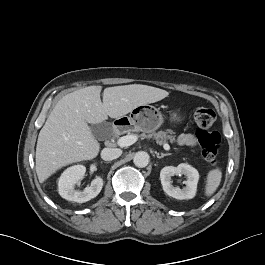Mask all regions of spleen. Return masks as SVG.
<instances>
[{"mask_svg": "<svg viewBox=\"0 0 265 265\" xmlns=\"http://www.w3.org/2000/svg\"><path fill=\"white\" fill-rule=\"evenodd\" d=\"M222 172L220 168L212 169L208 172L206 177L205 195L211 196L215 193L220 185Z\"/></svg>", "mask_w": 265, "mask_h": 265, "instance_id": "1", "label": "spleen"}]
</instances>
